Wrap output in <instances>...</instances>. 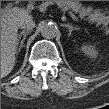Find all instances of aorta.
Instances as JSON below:
<instances>
[{
    "instance_id": "1",
    "label": "aorta",
    "mask_w": 109,
    "mask_h": 109,
    "mask_svg": "<svg viewBox=\"0 0 109 109\" xmlns=\"http://www.w3.org/2000/svg\"><path fill=\"white\" fill-rule=\"evenodd\" d=\"M58 28L54 23L45 22L41 25V35L46 39H53L56 37Z\"/></svg>"
}]
</instances>
